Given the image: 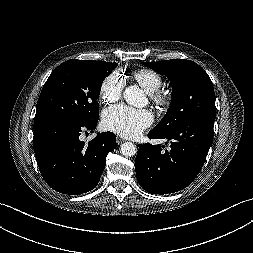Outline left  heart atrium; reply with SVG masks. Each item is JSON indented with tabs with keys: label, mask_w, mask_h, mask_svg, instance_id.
<instances>
[{
	"label": "left heart atrium",
	"mask_w": 253,
	"mask_h": 253,
	"mask_svg": "<svg viewBox=\"0 0 253 253\" xmlns=\"http://www.w3.org/2000/svg\"><path fill=\"white\" fill-rule=\"evenodd\" d=\"M153 122V115L146 109L117 105L106 109L102 115L104 128L126 138L139 136Z\"/></svg>",
	"instance_id": "left-heart-atrium-1"
}]
</instances>
